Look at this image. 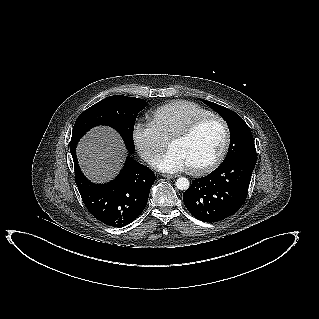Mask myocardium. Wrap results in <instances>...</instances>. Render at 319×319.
Here are the masks:
<instances>
[{
  "label": "myocardium",
  "instance_id": "f54148a6",
  "mask_svg": "<svg viewBox=\"0 0 319 319\" xmlns=\"http://www.w3.org/2000/svg\"><path fill=\"white\" fill-rule=\"evenodd\" d=\"M217 121L223 128L224 131V141L222 144V147L217 154V156L208 164L196 167V168H188V172L195 176L205 175L210 172H212L214 169H216L224 160L231 141V133L230 128L227 124V122L220 116L210 114L206 116H202L199 118L194 119L191 121L188 125H186L184 128H182L180 131L176 132L169 140L168 145H170L176 141H181L189 138L202 124L208 122V121Z\"/></svg>",
  "mask_w": 319,
  "mask_h": 319
}]
</instances>
